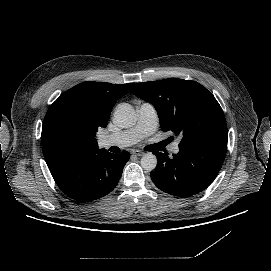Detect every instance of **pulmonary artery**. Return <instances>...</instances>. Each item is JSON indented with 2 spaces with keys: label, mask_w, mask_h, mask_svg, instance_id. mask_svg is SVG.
Wrapping results in <instances>:
<instances>
[{
  "label": "pulmonary artery",
  "mask_w": 271,
  "mask_h": 271,
  "mask_svg": "<svg viewBox=\"0 0 271 271\" xmlns=\"http://www.w3.org/2000/svg\"><path fill=\"white\" fill-rule=\"evenodd\" d=\"M158 115L153 104L142 102L137 107V119L134 126L118 133L106 134L98 138L100 148L127 147L134 145L151 135L158 127ZM171 153L178 154L179 140L171 148Z\"/></svg>",
  "instance_id": "pulmonary-artery-1"
}]
</instances>
